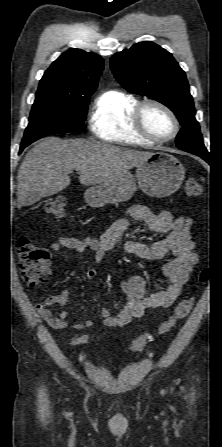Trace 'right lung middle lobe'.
Instances as JSON below:
<instances>
[{
  "label": "right lung middle lobe",
  "mask_w": 222,
  "mask_h": 447,
  "mask_svg": "<svg viewBox=\"0 0 222 447\" xmlns=\"http://www.w3.org/2000/svg\"><path fill=\"white\" fill-rule=\"evenodd\" d=\"M90 95L92 93L69 95L55 89H38L20 151L50 134L82 131Z\"/></svg>",
  "instance_id": "obj_1"
}]
</instances>
